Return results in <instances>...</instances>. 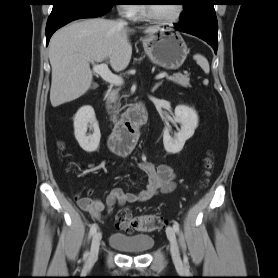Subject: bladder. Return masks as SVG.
I'll return each mask as SVG.
<instances>
[{
  "label": "bladder",
  "instance_id": "obj_1",
  "mask_svg": "<svg viewBox=\"0 0 278 278\" xmlns=\"http://www.w3.org/2000/svg\"><path fill=\"white\" fill-rule=\"evenodd\" d=\"M108 243L112 248L125 252H146L154 246V238L149 234L114 232L109 236Z\"/></svg>",
  "mask_w": 278,
  "mask_h": 278
}]
</instances>
